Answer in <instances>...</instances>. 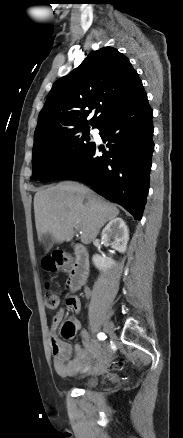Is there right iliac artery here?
<instances>
[{
    "instance_id": "right-iliac-artery-1",
    "label": "right iliac artery",
    "mask_w": 183,
    "mask_h": 438,
    "mask_svg": "<svg viewBox=\"0 0 183 438\" xmlns=\"http://www.w3.org/2000/svg\"><path fill=\"white\" fill-rule=\"evenodd\" d=\"M97 337H98L99 340H104V339L106 338V335H105V333L100 332V333L97 335Z\"/></svg>"
}]
</instances>
